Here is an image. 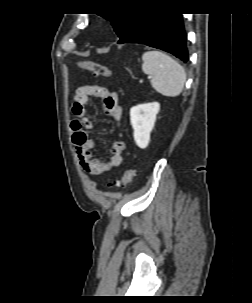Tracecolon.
<instances>
[{"label": "colon", "instance_id": "1", "mask_svg": "<svg viewBox=\"0 0 252 303\" xmlns=\"http://www.w3.org/2000/svg\"><path fill=\"white\" fill-rule=\"evenodd\" d=\"M78 66L96 76L109 77L111 74L110 70L106 66L92 60H81L78 62ZM137 172L138 170L136 167H129L120 180L115 183V185L119 187L128 185L135 178Z\"/></svg>", "mask_w": 252, "mask_h": 303}]
</instances>
